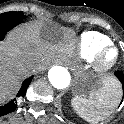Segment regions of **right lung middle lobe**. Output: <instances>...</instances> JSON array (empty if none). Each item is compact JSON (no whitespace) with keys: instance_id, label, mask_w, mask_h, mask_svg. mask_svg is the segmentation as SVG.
Masks as SVG:
<instances>
[{"instance_id":"obj_1","label":"right lung middle lobe","mask_w":124,"mask_h":124,"mask_svg":"<svg viewBox=\"0 0 124 124\" xmlns=\"http://www.w3.org/2000/svg\"><path fill=\"white\" fill-rule=\"evenodd\" d=\"M25 15L22 13V11H11V12H5L0 14V20H15V21H22L25 19Z\"/></svg>"}]
</instances>
